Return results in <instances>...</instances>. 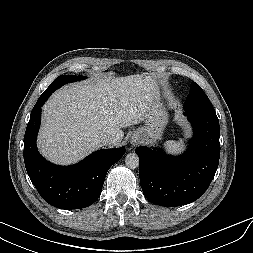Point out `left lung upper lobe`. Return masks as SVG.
<instances>
[{
	"mask_svg": "<svg viewBox=\"0 0 253 253\" xmlns=\"http://www.w3.org/2000/svg\"><path fill=\"white\" fill-rule=\"evenodd\" d=\"M184 111L185 113H216L209 98L195 82L191 84L190 94L185 102Z\"/></svg>",
	"mask_w": 253,
	"mask_h": 253,
	"instance_id": "5c2ea615",
	"label": "left lung upper lobe"
}]
</instances>
